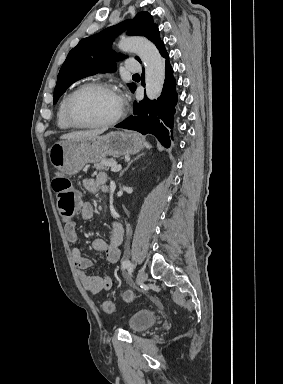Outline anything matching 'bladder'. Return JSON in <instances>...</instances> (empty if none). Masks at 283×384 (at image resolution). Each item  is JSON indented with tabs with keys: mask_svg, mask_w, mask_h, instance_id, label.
I'll return each mask as SVG.
<instances>
[{
	"mask_svg": "<svg viewBox=\"0 0 283 384\" xmlns=\"http://www.w3.org/2000/svg\"><path fill=\"white\" fill-rule=\"evenodd\" d=\"M157 316L152 309L135 310L128 318V329L131 333L139 334L152 327Z\"/></svg>",
	"mask_w": 283,
	"mask_h": 384,
	"instance_id": "bladder-1",
	"label": "bladder"
}]
</instances>
